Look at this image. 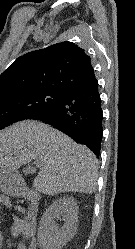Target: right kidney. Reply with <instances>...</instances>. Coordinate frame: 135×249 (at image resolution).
Here are the masks:
<instances>
[{"mask_svg":"<svg viewBox=\"0 0 135 249\" xmlns=\"http://www.w3.org/2000/svg\"><path fill=\"white\" fill-rule=\"evenodd\" d=\"M79 208L73 197L64 196L55 200L40 220L38 244L40 249H61L77 231ZM62 216L64 225L59 227L55 219Z\"/></svg>","mask_w":135,"mask_h":249,"instance_id":"ca27d5eb","label":"right kidney"}]
</instances>
